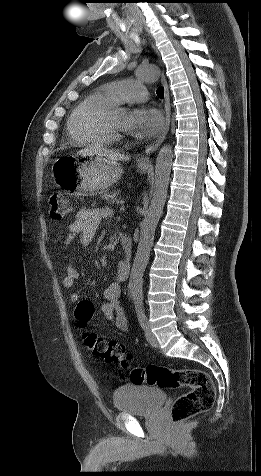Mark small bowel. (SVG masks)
Instances as JSON below:
<instances>
[{"mask_svg": "<svg viewBox=\"0 0 261 476\" xmlns=\"http://www.w3.org/2000/svg\"><path fill=\"white\" fill-rule=\"evenodd\" d=\"M111 212L106 208H83L79 210L72 223L68 225V233L63 242L65 249H68L72 242L79 239L82 245H89L94 240L101 222L109 217ZM129 272L123 270L122 263L119 264L114 280L104 290L105 302L101 305V313L104 318L110 321L118 330L128 331V318L121 302V285L128 278ZM79 272L72 265H67L66 275L63 279V286L66 289L73 287ZM81 297L79 293H72L70 301L79 303Z\"/></svg>", "mask_w": 261, "mask_h": 476, "instance_id": "small-bowel-1", "label": "small bowel"}]
</instances>
